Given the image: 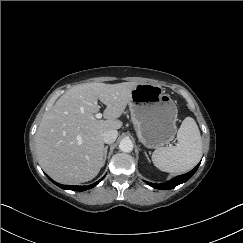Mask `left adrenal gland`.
Returning <instances> with one entry per match:
<instances>
[{"label":"left adrenal gland","instance_id":"1","mask_svg":"<svg viewBox=\"0 0 243 243\" xmlns=\"http://www.w3.org/2000/svg\"><path fill=\"white\" fill-rule=\"evenodd\" d=\"M145 156L147 157L148 161L150 162V159H149V157H148V155H147V153H146V152H145Z\"/></svg>","mask_w":243,"mask_h":243}]
</instances>
